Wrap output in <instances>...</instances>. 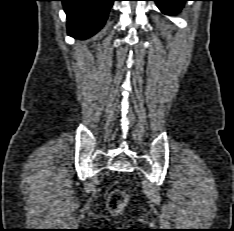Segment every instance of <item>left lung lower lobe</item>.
I'll return each instance as SVG.
<instances>
[{
    "label": "left lung lower lobe",
    "mask_w": 234,
    "mask_h": 231,
    "mask_svg": "<svg viewBox=\"0 0 234 231\" xmlns=\"http://www.w3.org/2000/svg\"><path fill=\"white\" fill-rule=\"evenodd\" d=\"M157 6L165 14H173L179 12L188 0H153Z\"/></svg>",
    "instance_id": "left-lung-lower-lobe-1"
}]
</instances>
